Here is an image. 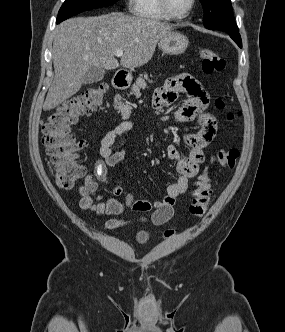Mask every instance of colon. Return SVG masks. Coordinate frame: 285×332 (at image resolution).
<instances>
[{"label":"colon","mask_w":285,"mask_h":332,"mask_svg":"<svg viewBox=\"0 0 285 332\" xmlns=\"http://www.w3.org/2000/svg\"><path fill=\"white\" fill-rule=\"evenodd\" d=\"M202 70L206 74L220 72L225 67V61L215 51L203 47L200 49ZM107 92L104 83L95 84L80 95L63 102L45 120L42 125V143L49 157L50 170L61 188H71L86 174L85 167L79 161V151L83 143L76 140L72 133V125L82 116L95 111L102 103ZM215 105L226 111L227 118L234 120L238 113L229 110V100L217 97ZM240 156L238 148L220 150L214 157V162L225 169L235 167ZM211 184L209 171L204 170L198 177L195 188L191 192V214L201 217L209 206ZM174 235L173 230H167L165 237Z\"/></svg>","instance_id":"1"}]
</instances>
